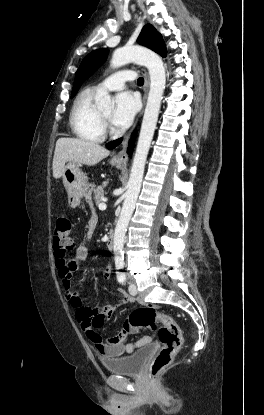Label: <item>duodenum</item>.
<instances>
[{
  "label": "duodenum",
  "instance_id": "410a0bca",
  "mask_svg": "<svg viewBox=\"0 0 264 415\" xmlns=\"http://www.w3.org/2000/svg\"><path fill=\"white\" fill-rule=\"evenodd\" d=\"M96 223H97L96 218H92L90 220V222H89V224L93 228L95 227ZM114 240H115L114 231L113 230H110L109 233H108V235H107V237H106V240H105L106 247L110 251H113L114 250Z\"/></svg>",
  "mask_w": 264,
  "mask_h": 415
}]
</instances>
